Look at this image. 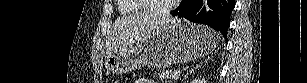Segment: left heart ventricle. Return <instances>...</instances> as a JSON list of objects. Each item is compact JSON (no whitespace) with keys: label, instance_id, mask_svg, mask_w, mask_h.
I'll return each instance as SVG.
<instances>
[{"label":"left heart ventricle","instance_id":"left-heart-ventricle-1","mask_svg":"<svg viewBox=\"0 0 307 83\" xmlns=\"http://www.w3.org/2000/svg\"><path fill=\"white\" fill-rule=\"evenodd\" d=\"M172 0H146L147 5L152 10H157L168 3H170Z\"/></svg>","mask_w":307,"mask_h":83}]
</instances>
